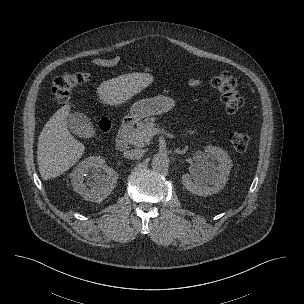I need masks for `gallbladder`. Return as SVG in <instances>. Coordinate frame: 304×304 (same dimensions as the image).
<instances>
[{
  "instance_id": "1",
  "label": "gallbladder",
  "mask_w": 304,
  "mask_h": 304,
  "mask_svg": "<svg viewBox=\"0 0 304 304\" xmlns=\"http://www.w3.org/2000/svg\"><path fill=\"white\" fill-rule=\"evenodd\" d=\"M67 126L78 137L89 138L94 135L93 125L90 119L83 113H70L67 117Z\"/></svg>"
}]
</instances>
